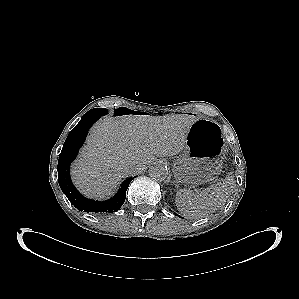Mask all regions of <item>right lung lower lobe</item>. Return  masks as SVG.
I'll list each match as a JSON object with an SVG mask.
<instances>
[{
	"instance_id": "1",
	"label": "right lung lower lobe",
	"mask_w": 299,
	"mask_h": 299,
	"mask_svg": "<svg viewBox=\"0 0 299 299\" xmlns=\"http://www.w3.org/2000/svg\"><path fill=\"white\" fill-rule=\"evenodd\" d=\"M100 117V115L82 117L80 122L70 131L58 160V180L61 190L78 210L112 213L118 211L123 205L127 188L135 177L125 180L113 198L100 202L83 197L72 184L69 172L70 164L83 145L88 130Z\"/></svg>"
}]
</instances>
